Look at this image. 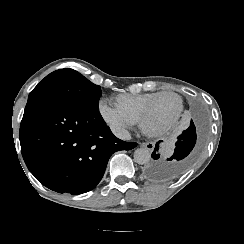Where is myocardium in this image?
<instances>
[{"label": "myocardium", "mask_w": 244, "mask_h": 244, "mask_svg": "<svg viewBox=\"0 0 244 244\" xmlns=\"http://www.w3.org/2000/svg\"><path fill=\"white\" fill-rule=\"evenodd\" d=\"M164 95H171V96H174L177 101H178V105H177V108L175 109V111L170 115V117L168 119H164L163 116H160V115H157L156 113L149 117V120H152V119H159L160 122L162 124H164L165 126H168L170 124H172V122L174 121V119L176 118V116L180 113L181 109H182V106H183V101H182V98L180 95H178L177 93L173 92V91H166V92H163V93H160L158 94L157 96L156 95H153L152 96V99L150 100L149 104H148V107H147V111L148 112H151L152 111V107L155 103V100L157 99V97H161V96H164Z\"/></svg>", "instance_id": "myocardium-1"}]
</instances>
